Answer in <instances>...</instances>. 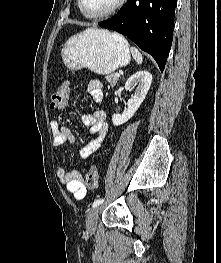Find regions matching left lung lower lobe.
I'll list each match as a JSON object with an SVG mask.
<instances>
[{"mask_svg":"<svg viewBox=\"0 0 221 263\" xmlns=\"http://www.w3.org/2000/svg\"><path fill=\"white\" fill-rule=\"evenodd\" d=\"M176 4L177 0H127L114 17L98 24L127 36L163 71L173 40Z\"/></svg>","mask_w":221,"mask_h":263,"instance_id":"1","label":"left lung lower lobe"}]
</instances>
